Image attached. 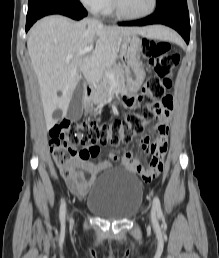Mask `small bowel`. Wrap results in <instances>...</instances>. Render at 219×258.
Here are the masks:
<instances>
[{"mask_svg": "<svg viewBox=\"0 0 219 258\" xmlns=\"http://www.w3.org/2000/svg\"><path fill=\"white\" fill-rule=\"evenodd\" d=\"M127 103L132 105L134 97L129 95L126 97ZM173 109L172 96H166L155 104L157 117V136L152 141L150 137L144 136L141 140L143 151L150 155L149 162L143 166L141 159L135 155L128 147H122V155L110 153L109 159L100 161L96 164L87 162V158H80L76 164V170L66 180V184L70 191L79 198L87 195L94 181L106 170L112 167V162H119L120 166L132 173H138L143 178V183H156V178L163 175V166L166 158L167 138L169 132L170 118ZM164 147V148H161ZM85 151H91V148H85ZM100 149L98 148V154ZM97 154V155H98ZM141 168V170H140Z\"/></svg>", "mask_w": 219, "mask_h": 258, "instance_id": "obj_1", "label": "small bowel"}]
</instances>
